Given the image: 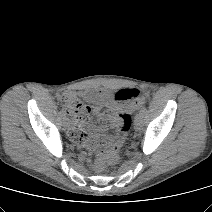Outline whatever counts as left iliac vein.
<instances>
[{
    "label": "left iliac vein",
    "mask_w": 212,
    "mask_h": 212,
    "mask_svg": "<svg viewBox=\"0 0 212 212\" xmlns=\"http://www.w3.org/2000/svg\"><path fill=\"white\" fill-rule=\"evenodd\" d=\"M142 121H143V115H141L140 113H138L135 116V119H134V128L136 130H140L141 129V127H142Z\"/></svg>",
    "instance_id": "4c4485c4"
}]
</instances>
